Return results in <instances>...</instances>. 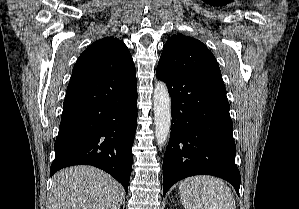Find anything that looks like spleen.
<instances>
[{"label": "spleen", "mask_w": 299, "mask_h": 209, "mask_svg": "<svg viewBox=\"0 0 299 209\" xmlns=\"http://www.w3.org/2000/svg\"><path fill=\"white\" fill-rule=\"evenodd\" d=\"M185 209H236L231 189L219 178L193 176L179 184Z\"/></svg>", "instance_id": "obj_1"}]
</instances>
